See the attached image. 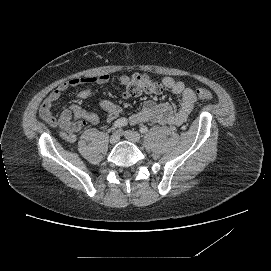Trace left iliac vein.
Listing matches in <instances>:
<instances>
[{
    "label": "left iliac vein",
    "mask_w": 271,
    "mask_h": 271,
    "mask_svg": "<svg viewBox=\"0 0 271 271\" xmlns=\"http://www.w3.org/2000/svg\"><path fill=\"white\" fill-rule=\"evenodd\" d=\"M125 138L133 143H138L140 141V134L135 131L126 130L123 132Z\"/></svg>",
    "instance_id": "left-iliac-vein-1"
}]
</instances>
